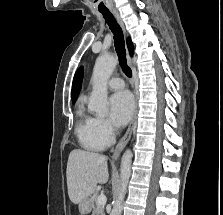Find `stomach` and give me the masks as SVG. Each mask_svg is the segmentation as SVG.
Here are the masks:
<instances>
[{"mask_svg": "<svg viewBox=\"0 0 223 215\" xmlns=\"http://www.w3.org/2000/svg\"><path fill=\"white\" fill-rule=\"evenodd\" d=\"M91 203L87 199H82L79 203V211L80 213H89L91 209L89 208Z\"/></svg>", "mask_w": 223, "mask_h": 215, "instance_id": "stomach-1", "label": "stomach"}]
</instances>
